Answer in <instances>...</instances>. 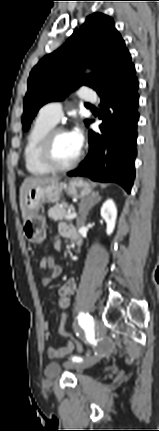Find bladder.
<instances>
[{"label": "bladder", "mask_w": 159, "mask_h": 431, "mask_svg": "<svg viewBox=\"0 0 159 431\" xmlns=\"http://www.w3.org/2000/svg\"><path fill=\"white\" fill-rule=\"evenodd\" d=\"M62 371V367L57 363H51L47 366L46 372L49 376H57Z\"/></svg>", "instance_id": "obj_1"}]
</instances>
